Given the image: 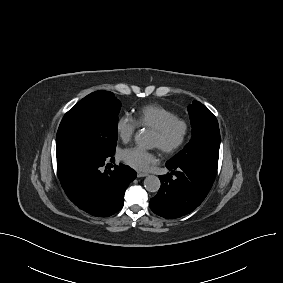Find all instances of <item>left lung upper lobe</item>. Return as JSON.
I'll list each match as a JSON object with an SVG mask.
<instances>
[{"mask_svg":"<svg viewBox=\"0 0 283 283\" xmlns=\"http://www.w3.org/2000/svg\"><path fill=\"white\" fill-rule=\"evenodd\" d=\"M188 112L192 138L168 163L197 164L216 175L220 147L218 121L209 109L198 101H193V104L188 106Z\"/></svg>","mask_w":283,"mask_h":283,"instance_id":"obj_1","label":"left lung upper lobe"}]
</instances>
